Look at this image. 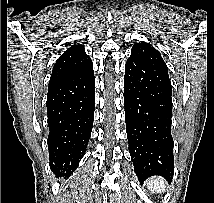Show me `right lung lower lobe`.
Returning a JSON list of instances; mask_svg holds the SVG:
<instances>
[{
    "label": "right lung lower lobe",
    "instance_id": "right-lung-lower-lobe-1",
    "mask_svg": "<svg viewBox=\"0 0 214 203\" xmlns=\"http://www.w3.org/2000/svg\"><path fill=\"white\" fill-rule=\"evenodd\" d=\"M92 63L49 82L47 95L50 168L71 175L84 155L94 121Z\"/></svg>",
    "mask_w": 214,
    "mask_h": 203
}]
</instances>
